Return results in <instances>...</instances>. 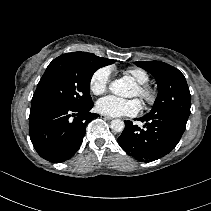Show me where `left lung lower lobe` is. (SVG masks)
<instances>
[{"label":"left lung lower lobe","mask_w":211,"mask_h":211,"mask_svg":"<svg viewBox=\"0 0 211 211\" xmlns=\"http://www.w3.org/2000/svg\"><path fill=\"white\" fill-rule=\"evenodd\" d=\"M137 120L145 122L144 129L125 121V129L118 142L127 154L145 162L170 153L186 127V122L167 114H146Z\"/></svg>","instance_id":"1"}]
</instances>
